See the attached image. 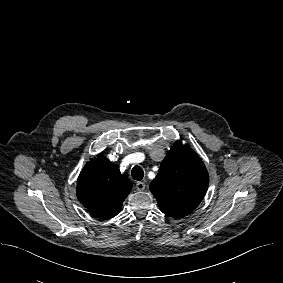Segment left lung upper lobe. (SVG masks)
Here are the masks:
<instances>
[{"instance_id": "obj_1", "label": "left lung upper lobe", "mask_w": 283, "mask_h": 283, "mask_svg": "<svg viewBox=\"0 0 283 283\" xmlns=\"http://www.w3.org/2000/svg\"><path fill=\"white\" fill-rule=\"evenodd\" d=\"M208 183V172L199 156L176 141L162 161L150 190L164 214L181 218L199 205Z\"/></svg>"}]
</instances>
